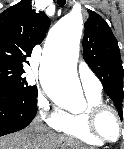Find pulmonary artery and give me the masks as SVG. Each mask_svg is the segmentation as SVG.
Returning <instances> with one entry per match:
<instances>
[{
  "instance_id": "pulmonary-artery-1",
  "label": "pulmonary artery",
  "mask_w": 124,
  "mask_h": 149,
  "mask_svg": "<svg viewBox=\"0 0 124 149\" xmlns=\"http://www.w3.org/2000/svg\"><path fill=\"white\" fill-rule=\"evenodd\" d=\"M78 74L81 85L85 92L101 93L102 84L100 80L85 62H81L79 64Z\"/></svg>"
}]
</instances>
